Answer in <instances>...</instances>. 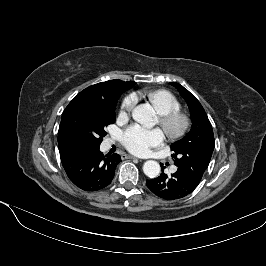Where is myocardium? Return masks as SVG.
Instances as JSON below:
<instances>
[{
  "instance_id": "myocardium-1",
  "label": "myocardium",
  "mask_w": 266,
  "mask_h": 266,
  "mask_svg": "<svg viewBox=\"0 0 266 266\" xmlns=\"http://www.w3.org/2000/svg\"><path fill=\"white\" fill-rule=\"evenodd\" d=\"M160 125L172 139L183 137L190 128V117L181 111H175L160 116Z\"/></svg>"
}]
</instances>
